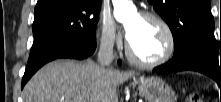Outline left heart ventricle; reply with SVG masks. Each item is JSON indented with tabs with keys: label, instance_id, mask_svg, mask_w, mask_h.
I'll return each instance as SVG.
<instances>
[{
	"label": "left heart ventricle",
	"instance_id": "b2bd125f",
	"mask_svg": "<svg viewBox=\"0 0 221 102\" xmlns=\"http://www.w3.org/2000/svg\"><path fill=\"white\" fill-rule=\"evenodd\" d=\"M132 31L129 42L134 52L145 61L160 58L166 51L167 38L162 27L151 20L134 15L127 22Z\"/></svg>",
	"mask_w": 221,
	"mask_h": 102
}]
</instances>
